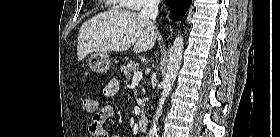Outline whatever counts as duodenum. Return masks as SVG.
<instances>
[{
    "label": "duodenum",
    "mask_w": 280,
    "mask_h": 137,
    "mask_svg": "<svg viewBox=\"0 0 280 137\" xmlns=\"http://www.w3.org/2000/svg\"><path fill=\"white\" fill-rule=\"evenodd\" d=\"M139 129L142 132H147L149 129V119L147 117H142L139 120Z\"/></svg>",
    "instance_id": "1"
}]
</instances>
